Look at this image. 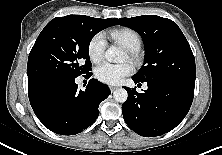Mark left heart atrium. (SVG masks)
I'll list each match as a JSON object with an SVG mask.
<instances>
[{
    "label": "left heart atrium",
    "instance_id": "left-heart-atrium-1",
    "mask_svg": "<svg viewBox=\"0 0 222 155\" xmlns=\"http://www.w3.org/2000/svg\"><path fill=\"white\" fill-rule=\"evenodd\" d=\"M133 67L129 63L113 64L105 62L97 67L96 77L103 83L109 85L119 84L124 77L130 75Z\"/></svg>",
    "mask_w": 222,
    "mask_h": 155
}]
</instances>
